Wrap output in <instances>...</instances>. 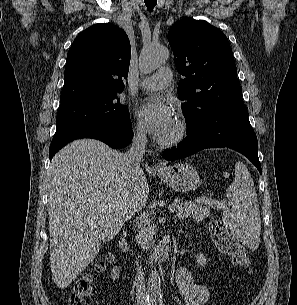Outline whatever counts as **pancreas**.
I'll use <instances>...</instances> for the list:
<instances>
[{"instance_id": "pancreas-1", "label": "pancreas", "mask_w": 297, "mask_h": 305, "mask_svg": "<svg viewBox=\"0 0 297 305\" xmlns=\"http://www.w3.org/2000/svg\"><path fill=\"white\" fill-rule=\"evenodd\" d=\"M212 206L213 202L211 199L207 197H198L193 201L177 205L175 210L176 218H178L179 220H183L184 218L192 216L193 219L201 221L208 217L210 213V208ZM153 234L154 225L148 218L144 222V226L140 235L137 237V240L144 248H150L154 239Z\"/></svg>"}]
</instances>
